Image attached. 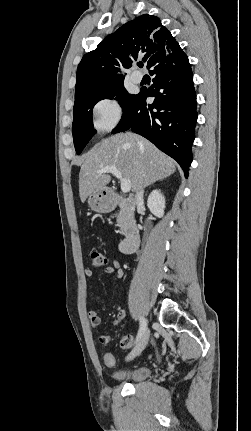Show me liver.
Listing matches in <instances>:
<instances>
[{"label":"liver","instance_id":"6515ba94","mask_svg":"<svg viewBox=\"0 0 251 431\" xmlns=\"http://www.w3.org/2000/svg\"><path fill=\"white\" fill-rule=\"evenodd\" d=\"M115 166L131 181L133 192L164 179L176 170L175 162L147 139L134 133L113 135L89 151L79 173V195L82 202L111 181L109 174L96 171Z\"/></svg>","mask_w":251,"mask_h":431}]
</instances>
